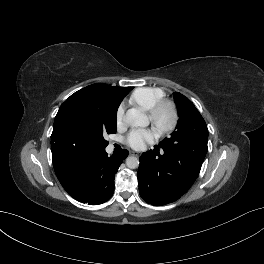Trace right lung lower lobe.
Masks as SVG:
<instances>
[{
	"instance_id": "1",
	"label": "right lung lower lobe",
	"mask_w": 264,
	"mask_h": 264,
	"mask_svg": "<svg viewBox=\"0 0 264 264\" xmlns=\"http://www.w3.org/2000/svg\"><path fill=\"white\" fill-rule=\"evenodd\" d=\"M127 156V150L111 157L105 149L89 150L73 153L53 164L58 180L70 196L98 205L112 197L115 174Z\"/></svg>"
}]
</instances>
